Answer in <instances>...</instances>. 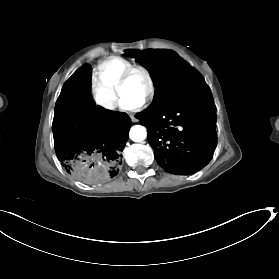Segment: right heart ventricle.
<instances>
[{
  "label": "right heart ventricle",
  "mask_w": 279,
  "mask_h": 279,
  "mask_svg": "<svg viewBox=\"0 0 279 279\" xmlns=\"http://www.w3.org/2000/svg\"><path fill=\"white\" fill-rule=\"evenodd\" d=\"M134 65L131 61L111 56L100 61L92 72L93 84H101L117 94V84L122 72Z\"/></svg>",
  "instance_id": "obj_1"
}]
</instances>
